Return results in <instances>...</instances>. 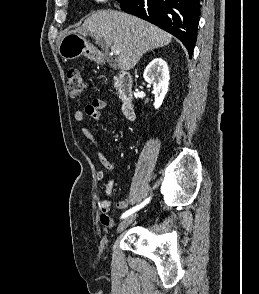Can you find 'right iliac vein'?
<instances>
[{
  "label": "right iliac vein",
  "instance_id": "63e3f726",
  "mask_svg": "<svg viewBox=\"0 0 259 294\" xmlns=\"http://www.w3.org/2000/svg\"><path fill=\"white\" fill-rule=\"evenodd\" d=\"M137 214H133L130 215L128 217H126L123 221H121V223L119 224L118 228H117V232H121L124 229H126L131 223H133V221L136 219Z\"/></svg>",
  "mask_w": 259,
  "mask_h": 294
}]
</instances>
